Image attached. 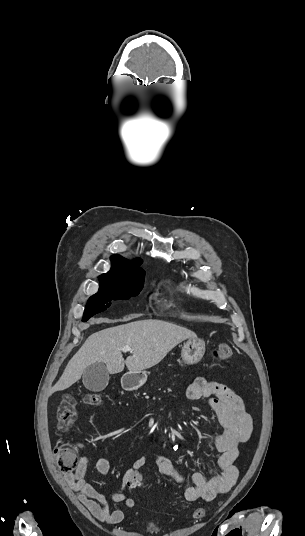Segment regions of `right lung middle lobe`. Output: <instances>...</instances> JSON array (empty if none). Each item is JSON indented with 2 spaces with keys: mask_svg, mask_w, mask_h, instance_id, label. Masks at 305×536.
Listing matches in <instances>:
<instances>
[{
  "mask_svg": "<svg viewBox=\"0 0 305 536\" xmlns=\"http://www.w3.org/2000/svg\"><path fill=\"white\" fill-rule=\"evenodd\" d=\"M144 279L130 281H102L99 292L90 297L86 305L83 321L88 320L96 313L106 310L113 300L129 299L139 294Z\"/></svg>",
  "mask_w": 305,
  "mask_h": 536,
  "instance_id": "dd1d6c3e",
  "label": "right lung middle lobe"
}]
</instances>
